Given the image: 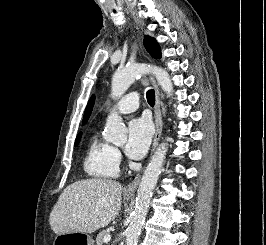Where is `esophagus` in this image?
I'll return each mask as SVG.
<instances>
[{
	"instance_id": "1",
	"label": "esophagus",
	"mask_w": 266,
	"mask_h": 245,
	"mask_svg": "<svg viewBox=\"0 0 266 245\" xmlns=\"http://www.w3.org/2000/svg\"><path fill=\"white\" fill-rule=\"evenodd\" d=\"M151 82H152L154 89H155L154 119H155V125H156V132H155V137L153 139L152 150H151V154H152L159 143V139H160V136L162 133V128H163V122H162L161 108H160L161 102H160L159 88H158V85H157L154 77H151ZM140 178H141V174H138L135 177V179L126 187V189L124 191V193L126 195H134V193L137 189V186L140 182Z\"/></svg>"
}]
</instances>
